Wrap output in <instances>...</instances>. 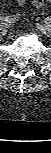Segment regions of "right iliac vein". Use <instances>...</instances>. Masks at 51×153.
Here are the masks:
<instances>
[{"label":"right iliac vein","mask_w":51,"mask_h":153,"mask_svg":"<svg viewBox=\"0 0 51 153\" xmlns=\"http://www.w3.org/2000/svg\"><path fill=\"white\" fill-rule=\"evenodd\" d=\"M0 34L5 35L6 34V23L1 21V29H0Z\"/></svg>","instance_id":"right-iliac-vein-1"}]
</instances>
